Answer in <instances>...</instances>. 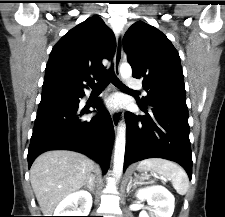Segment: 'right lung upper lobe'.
<instances>
[{
	"label": "right lung upper lobe",
	"mask_w": 225,
	"mask_h": 217,
	"mask_svg": "<svg viewBox=\"0 0 225 217\" xmlns=\"http://www.w3.org/2000/svg\"><path fill=\"white\" fill-rule=\"evenodd\" d=\"M116 48L112 31L98 16L88 18L67 32L53 47L45 69L42 96L81 94L91 81L105 73L104 58Z\"/></svg>",
	"instance_id": "right-lung-upper-lobe-1"
}]
</instances>
